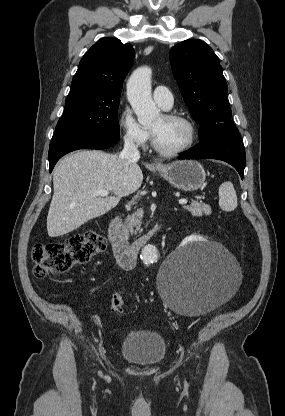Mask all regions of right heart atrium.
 <instances>
[{
	"instance_id": "d8ad5b80",
	"label": "right heart atrium",
	"mask_w": 285,
	"mask_h": 416,
	"mask_svg": "<svg viewBox=\"0 0 285 416\" xmlns=\"http://www.w3.org/2000/svg\"><path fill=\"white\" fill-rule=\"evenodd\" d=\"M119 124L128 143L141 149L148 146L150 141L149 130L134 117L130 108L125 107L122 110Z\"/></svg>"
}]
</instances>
